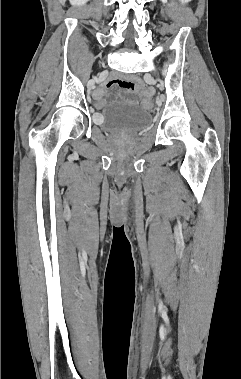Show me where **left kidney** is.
<instances>
[{"label":"left kidney","instance_id":"5707ae66","mask_svg":"<svg viewBox=\"0 0 241 379\" xmlns=\"http://www.w3.org/2000/svg\"><path fill=\"white\" fill-rule=\"evenodd\" d=\"M182 3H188L190 2L191 0H180Z\"/></svg>","mask_w":241,"mask_h":379}]
</instances>
